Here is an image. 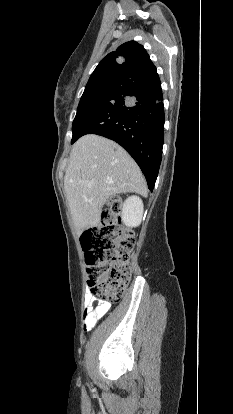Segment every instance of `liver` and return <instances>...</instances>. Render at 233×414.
Returning a JSON list of instances; mask_svg holds the SVG:
<instances>
[{
    "label": "liver",
    "mask_w": 233,
    "mask_h": 414,
    "mask_svg": "<svg viewBox=\"0 0 233 414\" xmlns=\"http://www.w3.org/2000/svg\"><path fill=\"white\" fill-rule=\"evenodd\" d=\"M64 188L78 234L100 223L102 207L112 196L129 192L147 196L136 162L117 143L95 134L74 144Z\"/></svg>",
    "instance_id": "6515ba94"
}]
</instances>
